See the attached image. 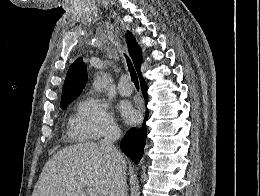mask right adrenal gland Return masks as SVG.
Listing matches in <instances>:
<instances>
[{
	"label": "right adrenal gland",
	"mask_w": 260,
	"mask_h": 196,
	"mask_svg": "<svg viewBox=\"0 0 260 196\" xmlns=\"http://www.w3.org/2000/svg\"><path fill=\"white\" fill-rule=\"evenodd\" d=\"M125 196H128V190H126V192H125Z\"/></svg>",
	"instance_id": "1"
}]
</instances>
